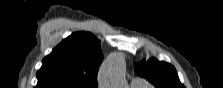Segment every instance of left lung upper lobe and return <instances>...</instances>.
Wrapping results in <instances>:
<instances>
[{"instance_id": "5c2ea615", "label": "left lung upper lobe", "mask_w": 223, "mask_h": 88, "mask_svg": "<svg viewBox=\"0 0 223 88\" xmlns=\"http://www.w3.org/2000/svg\"><path fill=\"white\" fill-rule=\"evenodd\" d=\"M135 72L150 81L156 88H184L176 69L166 63L155 59L145 60L134 65Z\"/></svg>"}]
</instances>
